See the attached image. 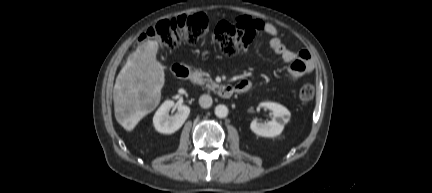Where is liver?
<instances>
[{"label":"liver","mask_w":432,"mask_h":193,"mask_svg":"<svg viewBox=\"0 0 432 193\" xmlns=\"http://www.w3.org/2000/svg\"><path fill=\"white\" fill-rule=\"evenodd\" d=\"M157 51V41L143 43L128 57L116 78L115 117L127 131L133 130L160 102L165 67L157 60Z\"/></svg>","instance_id":"obj_1"}]
</instances>
